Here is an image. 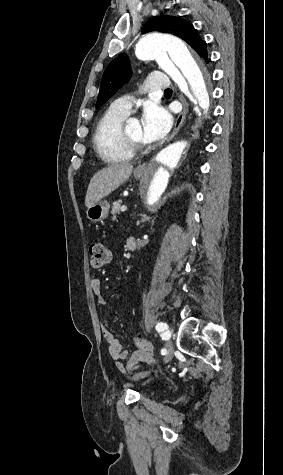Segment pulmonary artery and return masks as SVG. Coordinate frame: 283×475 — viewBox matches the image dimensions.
<instances>
[{"instance_id":"obj_1","label":"pulmonary artery","mask_w":283,"mask_h":475,"mask_svg":"<svg viewBox=\"0 0 283 475\" xmlns=\"http://www.w3.org/2000/svg\"><path fill=\"white\" fill-rule=\"evenodd\" d=\"M143 94L145 96H152L154 89H170V80H146L142 82ZM133 97L123 96L115 100L112 104L118 108L129 111L132 106Z\"/></svg>"}]
</instances>
